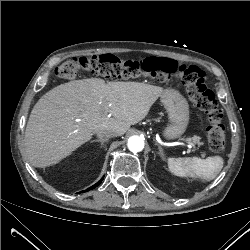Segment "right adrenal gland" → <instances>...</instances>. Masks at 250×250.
<instances>
[{
  "mask_svg": "<svg viewBox=\"0 0 250 250\" xmlns=\"http://www.w3.org/2000/svg\"><path fill=\"white\" fill-rule=\"evenodd\" d=\"M108 140H109V138H99V139L92 140L91 143H93V142H100L101 147H103L104 144H105V142H107Z\"/></svg>",
  "mask_w": 250,
  "mask_h": 250,
  "instance_id": "obj_1",
  "label": "right adrenal gland"
}]
</instances>
